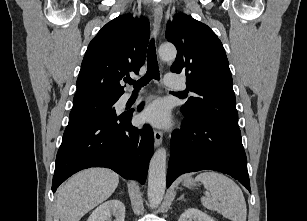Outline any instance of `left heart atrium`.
Instances as JSON below:
<instances>
[{
    "mask_svg": "<svg viewBox=\"0 0 307 221\" xmlns=\"http://www.w3.org/2000/svg\"><path fill=\"white\" fill-rule=\"evenodd\" d=\"M141 118L155 127H167L170 123V110L165 101L156 100L145 108Z\"/></svg>",
    "mask_w": 307,
    "mask_h": 221,
    "instance_id": "left-heart-atrium-1",
    "label": "left heart atrium"
}]
</instances>
